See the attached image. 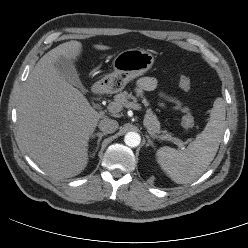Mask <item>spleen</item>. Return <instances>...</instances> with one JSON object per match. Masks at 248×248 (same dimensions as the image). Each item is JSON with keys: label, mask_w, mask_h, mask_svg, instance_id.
Instances as JSON below:
<instances>
[{"label": "spleen", "mask_w": 248, "mask_h": 248, "mask_svg": "<svg viewBox=\"0 0 248 248\" xmlns=\"http://www.w3.org/2000/svg\"><path fill=\"white\" fill-rule=\"evenodd\" d=\"M225 106L216 99L210 111L209 121L186 149L177 150L168 146L156 152L161 169L177 184H187L198 179L213 161L224 132Z\"/></svg>", "instance_id": "spleen-1"}]
</instances>
